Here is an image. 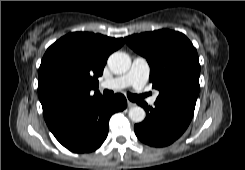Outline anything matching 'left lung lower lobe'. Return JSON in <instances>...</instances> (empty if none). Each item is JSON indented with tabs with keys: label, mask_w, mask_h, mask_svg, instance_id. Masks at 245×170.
I'll return each mask as SVG.
<instances>
[{
	"label": "left lung lower lobe",
	"mask_w": 245,
	"mask_h": 170,
	"mask_svg": "<svg viewBox=\"0 0 245 170\" xmlns=\"http://www.w3.org/2000/svg\"><path fill=\"white\" fill-rule=\"evenodd\" d=\"M146 110V118L135 125L137 137L147 145L164 147L177 140L187 129L194 110L170 103L155 102V106L139 103Z\"/></svg>",
	"instance_id": "obj_1"
}]
</instances>
